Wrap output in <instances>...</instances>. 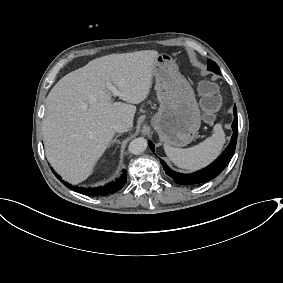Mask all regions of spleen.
I'll use <instances>...</instances> for the list:
<instances>
[{
	"mask_svg": "<svg viewBox=\"0 0 283 283\" xmlns=\"http://www.w3.org/2000/svg\"><path fill=\"white\" fill-rule=\"evenodd\" d=\"M213 130L211 137L190 148L180 149L165 144L166 155L176 166L190 171L207 166L219 156L226 142L221 124H215Z\"/></svg>",
	"mask_w": 283,
	"mask_h": 283,
	"instance_id": "3e777b00",
	"label": "spleen"
}]
</instances>
